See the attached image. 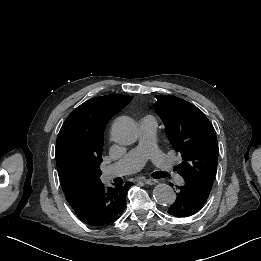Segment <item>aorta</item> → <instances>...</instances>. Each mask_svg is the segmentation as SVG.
Masks as SVG:
<instances>
[{
    "mask_svg": "<svg viewBox=\"0 0 261 261\" xmlns=\"http://www.w3.org/2000/svg\"><path fill=\"white\" fill-rule=\"evenodd\" d=\"M111 133L114 141L120 145H130L137 140V126L129 117L116 119ZM153 197L159 205L169 206L175 202L176 194L170 185L159 183L153 189Z\"/></svg>",
    "mask_w": 261,
    "mask_h": 261,
    "instance_id": "obj_1",
    "label": "aorta"
}]
</instances>
